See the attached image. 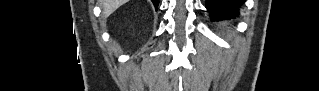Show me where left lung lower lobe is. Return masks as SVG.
Returning <instances> with one entry per match:
<instances>
[{"label":"left lung lower lobe","instance_id":"1","mask_svg":"<svg viewBox=\"0 0 319 91\" xmlns=\"http://www.w3.org/2000/svg\"><path fill=\"white\" fill-rule=\"evenodd\" d=\"M244 0H207L206 8L214 20L229 19L239 14V6Z\"/></svg>","mask_w":319,"mask_h":91}]
</instances>
